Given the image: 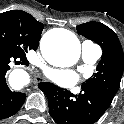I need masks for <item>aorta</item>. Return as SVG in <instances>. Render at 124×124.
Masks as SVG:
<instances>
[{
	"label": "aorta",
	"mask_w": 124,
	"mask_h": 124,
	"mask_svg": "<svg viewBox=\"0 0 124 124\" xmlns=\"http://www.w3.org/2000/svg\"><path fill=\"white\" fill-rule=\"evenodd\" d=\"M40 49L46 61L58 67L72 66L79 59L81 52L78 38L64 29L47 31L41 38ZM17 74L21 79L25 78V73L21 70H15L11 75Z\"/></svg>",
	"instance_id": "1"
}]
</instances>
